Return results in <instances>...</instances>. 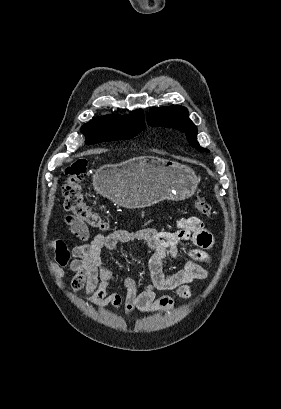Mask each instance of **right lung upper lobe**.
<instances>
[{
  "mask_svg": "<svg viewBox=\"0 0 281 409\" xmlns=\"http://www.w3.org/2000/svg\"><path fill=\"white\" fill-rule=\"evenodd\" d=\"M138 125H145L142 110H135L125 116L109 115L99 117L85 124L83 127L121 128Z\"/></svg>",
  "mask_w": 281,
  "mask_h": 409,
  "instance_id": "cb5924a9",
  "label": "right lung upper lobe"
}]
</instances>
